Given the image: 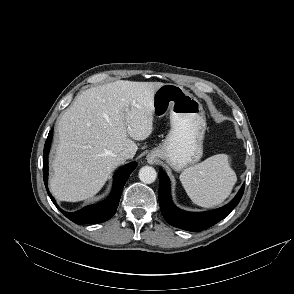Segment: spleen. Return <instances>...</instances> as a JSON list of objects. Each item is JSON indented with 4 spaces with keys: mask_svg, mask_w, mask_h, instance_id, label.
<instances>
[{
    "mask_svg": "<svg viewBox=\"0 0 294 294\" xmlns=\"http://www.w3.org/2000/svg\"><path fill=\"white\" fill-rule=\"evenodd\" d=\"M180 181L193 203L210 208L221 204L230 195L237 177L229 164V156L217 154L186 168Z\"/></svg>",
    "mask_w": 294,
    "mask_h": 294,
    "instance_id": "1",
    "label": "spleen"
}]
</instances>
